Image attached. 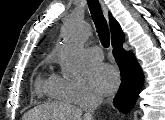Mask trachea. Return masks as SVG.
<instances>
[{
	"mask_svg": "<svg viewBox=\"0 0 165 120\" xmlns=\"http://www.w3.org/2000/svg\"><path fill=\"white\" fill-rule=\"evenodd\" d=\"M87 2L101 44L107 48L110 45V33L100 3L98 0H87Z\"/></svg>",
	"mask_w": 165,
	"mask_h": 120,
	"instance_id": "trachea-1",
	"label": "trachea"
}]
</instances>
